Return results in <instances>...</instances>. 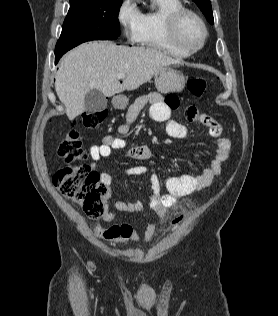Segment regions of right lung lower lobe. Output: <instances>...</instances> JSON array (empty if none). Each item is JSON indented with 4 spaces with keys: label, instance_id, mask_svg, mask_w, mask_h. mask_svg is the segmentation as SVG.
Instances as JSON below:
<instances>
[{
    "label": "right lung lower lobe",
    "instance_id": "obj_1",
    "mask_svg": "<svg viewBox=\"0 0 278 316\" xmlns=\"http://www.w3.org/2000/svg\"><path fill=\"white\" fill-rule=\"evenodd\" d=\"M63 54H57L55 55V63H57L59 61V59L61 58Z\"/></svg>",
    "mask_w": 278,
    "mask_h": 316
}]
</instances>
